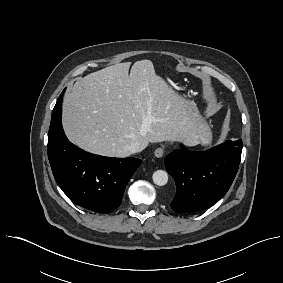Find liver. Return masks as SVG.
Wrapping results in <instances>:
<instances>
[{
    "instance_id": "1",
    "label": "liver",
    "mask_w": 283,
    "mask_h": 283,
    "mask_svg": "<svg viewBox=\"0 0 283 283\" xmlns=\"http://www.w3.org/2000/svg\"><path fill=\"white\" fill-rule=\"evenodd\" d=\"M118 63L75 82L63 99V127L80 148L108 157H128L140 142L199 144L190 101L156 75L150 60Z\"/></svg>"
}]
</instances>
